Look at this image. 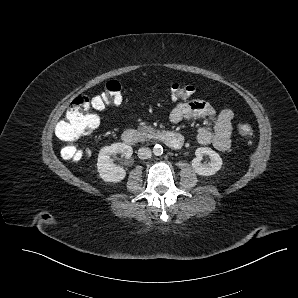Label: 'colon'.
<instances>
[{
    "label": "colon",
    "mask_w": 298,
    "mask_h": 298,
    "mask_svg": "<svg viewBox=\"0 0 298 298\" xmlns=\"http://www.w3.org/2000/svg\"><path fill=\"white\" fill-rule=\"evenodd\" d=\"M195 92L190 84L173 83L170 86V96L174 101L186 100ZM122 102L121 84L116 80L106 83L101 94L89 98L85 95L77 96L69 106L64 118L56 127L57 136L64 141H74L91 133L98 125L99 119L94 111H101L108 105H118ZM238 132L248 142L254 136L250 123L240 122Z\"/></svg>",
    "instance_id": "5ec220e1"
}]
</instances>
